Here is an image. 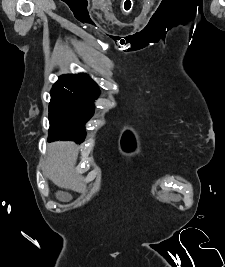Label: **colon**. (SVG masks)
<instances>
[{"label": "colon", "instance_id": "5ec220e1", "mask_svg": "<svg viewBox=\"0 0 225 267\" xmlns=\"http://www.w3.org/2000/svg\"><path fill=\"white\" fill-rule=\"evenodd\" d=\"M131 2H129V3H124V10L126 11V12H129L130 10H131Z\"/></svg>", "mask_w": 225, "mask_h": 267}]
</instances>
